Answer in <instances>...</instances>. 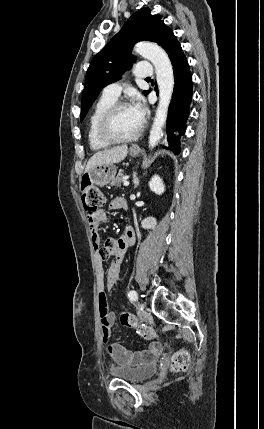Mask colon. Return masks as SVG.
<instances>
[{
    "mask_svg": "<svg viewBox=\"0 0 264 429\" xmlns=\"http://www.w3.org/2000/svg\"><path fill=\"white\" fill-rule=\"evenodd\" d=\"M81 197L84 209L89 218H94L105 204V196L102 191L88 181L81 185ZM120 323L127 328L137 329L139 334L146 339L156 338L155 331L138 321L130 312L122 311L119 315ZM190 363V356L186 350H179L171 358V368L175 372H185Z\"/></svg>",
    "mask_w": 264,
    "mask_h": 429,
    "instance_id": "obj_1",
    "label": "colon"
}]
</instances>
